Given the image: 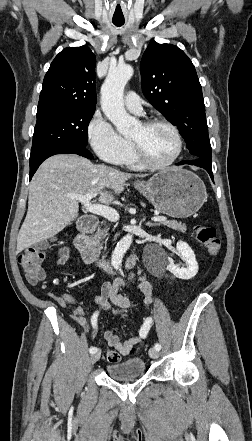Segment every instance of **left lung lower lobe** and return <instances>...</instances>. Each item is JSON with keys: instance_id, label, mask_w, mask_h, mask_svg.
I'll use <instances>...</instances> for the list:
<instances>
[{"instance_id": "obj_1", "label": "left lung lower lobe", "mask_w": 252, "mask_h": 441, "mask_svg": "<svg viewBox=\"0 0 252 441\" xmlns=\"http://www.w3.org/2000/svg\"><path fill=\"white\" fill-rule=\"evenodd\" d=\"M183 164H190V165H197L200 166L202 168H205L207 170V172L209 173L211 179L213 180V173H212V163H211V159H206V158H202V157H197L195 160L193 161H188V160H183L180 161L179 163H177L176 165H183Z\"/></svg>"}]
</instances>
